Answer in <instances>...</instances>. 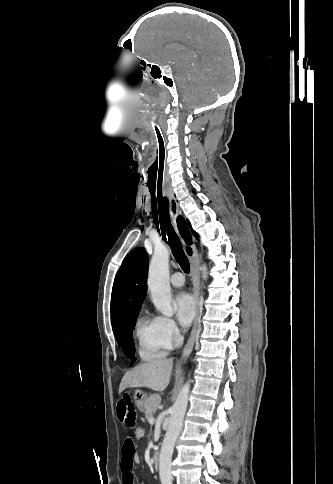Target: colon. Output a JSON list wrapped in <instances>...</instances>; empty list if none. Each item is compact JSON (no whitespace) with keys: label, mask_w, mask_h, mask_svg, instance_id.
Returning <instances> with one entry per match:
<instances>
[{"label":"colon","mask_w":333,"mask_h":484,"mask_svg":"<svg viewBox=\"0 0 333 484\" xmlns=\"http://www.w3.org/2000/svg\"><path fill=\"white\" fill-rule=\"evenodd\" d=\"M146 435V430L143 426H136L133 430V436L136 440H142Z\"/></svg>","instance_id":"1"}]
</instances>
